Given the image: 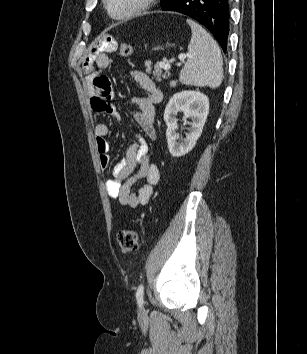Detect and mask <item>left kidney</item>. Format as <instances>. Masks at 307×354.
Wrapping results in <instances>:
<instances>
[{"label":"left kidney","mask_w":307,"mask_h":354,"mask_svg":"<svg viewBox=\"0 0 307 354\" xmlns=\"http://www.w3.org/2000/svg\"><path fill=\"white\" fill-rule=\"evenodd\" d=\"M180 111L184 113V124H190L191 127L186 137L178 141L176 116ZM208 113L209 99L198 91H181L170 98L165 108L164 121L167 125L168 149L173 157H181L192 150L202 133ZM187 118L192 122H187Z\"/></svg>","instance_id":"5707ae66"}]
</instances>
